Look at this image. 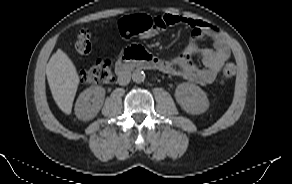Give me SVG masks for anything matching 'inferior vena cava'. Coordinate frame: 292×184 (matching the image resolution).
<instances>
[{"mask_svg": "<svg viewBox=\"0 0 292 184\" xmlns=\"http://www.w3.org/2000/svg\"><path fill=\"white\" fill-rule=\"evenodd\" d=\"M131 73L130 71H123L118 75L117 82L119 85H127L130 82Z\"/></svg>", "mask_w": 292, "mask_h": 184, "instance_id": "602c4592", "label": "inferior vena cava"}]
</instances>
